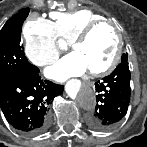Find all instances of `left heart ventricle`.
I'll return each instance as SVG.
<instances>
[{
    "label": "left heart ventricle",
    "instance_id": "1",
    "mask_svg": "<svg viewBox=\"0 0 147 147\" xmlns=\"http://www.w3.org/2000/svg\"><path fill=\"white\" fill-rule=\"evenodd\" d=\"M117 47V36L109 26L99 27L89 38L73 49L86 64L87 70H99L110 63Z\"/></svg>",
    "mask_w": 147,
    "mask_h": 147
}]
</instances>
